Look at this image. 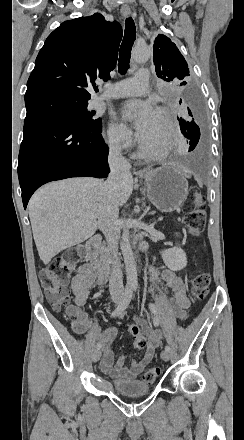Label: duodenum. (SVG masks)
<instances>
[{"label":"duodenum","instance_id":"410a0bca","mask_svg":"<svg viewBox=\"0 0 244 440\" xmlns=\"http://www.w3.org/2000/svg\"><path fill=\"white\" fill-rule=\"evenodd\" d=\"M85 256L93 266L104 273L110 271L114 266V258L102 252L101 241L98 237H93L87 241Z\"/></svg>","mask_w":244,"mask_h":440}]
</instances>
